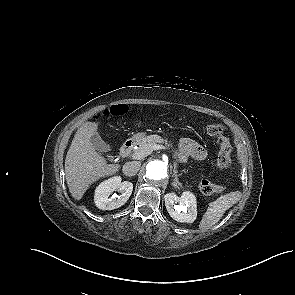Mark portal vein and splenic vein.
I'll return each instance as SVG.
<instances>
[{
	"label": "portal vein and splenic vein",
	"mask_w": 295,
	"mask_h": 295,
	"mask_svg": "<svg viewBox=\"0 0 295 295\" xmlns=\"http://www.w3.org/2000/svg\"><path fill=\"white\" fill-rule=\"evenodd\" d=\"M159 149H166V148H165V146L158 145V144L152 146V150H159ZM132 157L134 159H142V158L145 157V155L142 154V153H135V154L132 155Z\"/></svg>",
	"instance_id": "18ae733b"
}]
</instances>
